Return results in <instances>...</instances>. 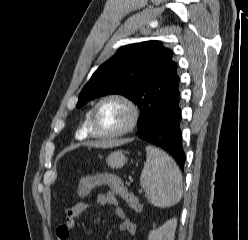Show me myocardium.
Here are the masks:
<instances>
[{
    "label": "myocardium",
    "mask_w": 248,
    "mask_h": 240,
    "mask_svg": "<svg viewBox=\"0 0 248 240\" xmlns=\"http://www.w3.org/2000/svg\"><path fill=\"white\" fill-rule=\"evenodd\" d=\"M108 102H116V103L121 104L128 113V121L121 129L115 132H112V133L104 134L96 130L95 118H96V114H97L99 107L102 104L108 103ZM138 117H139L138 107L131 98H129L126 95L118 94V93H112V94L105 95L96 102V104L91 110L90 120H89L90 135L97 137V138H101V139H113V138L125 135L134 129V127L137 124Z\"/></svg>",
    "instance_id": "obj_1"
}]
</instances>
